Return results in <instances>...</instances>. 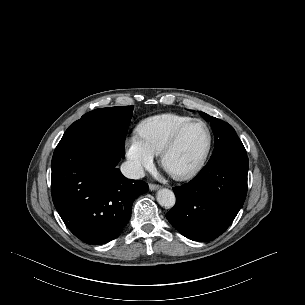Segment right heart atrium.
<instances>
[{
    "label": "right heart atrium",
    "mask_w": 305,
    "mask_h": 305,
    "mask_svg": "<svg viewBox=\"0 0 305 305\" xmlns=\"http://www.w3.org/2000/svg\"><path fill=\"white\" fill-rule=\"evenodd\" d=\"M126 156L135 174H141L145 169L151 168L154 163V155L138 136H132L127 140Z\"/></svg>",
    "instance_id": "obj_1"
}]
</instances>
